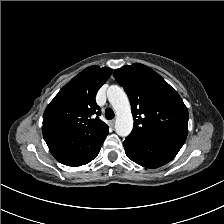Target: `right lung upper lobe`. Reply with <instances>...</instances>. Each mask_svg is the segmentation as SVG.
<instances>
[{
	"label": "right lung upper lobe",
	"mask_w": 224,
	"mask_h": 224,
	"mask_svg": "<svg viewBox=\"0 0 224 224\" xmlns=\"http://www.w3.org/2000/svg\"><path fill=\"white\" fill-rule=\"evenodd\" d=\"M112 74L108 67L90 66L69 81L45 109L43 127L55 126L79 134H101L108 126L101 121L95 96ZM96 115L95 118H91Z\"/></svg>",
	"instance_id": "right-lung-upper-lobe-1"
}]
</instances>
